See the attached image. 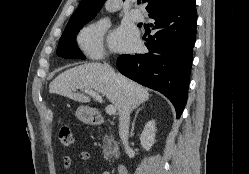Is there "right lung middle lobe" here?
<instances>
[{"mask_svg": "<svg viewBox=\"0 0 249 174\" xmlns=\"http://www.w3.org/2000/svg\"><path fill=\"white\" fill-rule=\"evenodd\" d=\"M90 20L68 23L62 34L57 48V55L67 59H85V56L80 52L76 43V35L79 30Z\"/></svg>", "mask_w": 249, "mask_h": 174, "instance_id": "dd1d6c3e", "label": "right lung middle lobe"}]
</instances>
